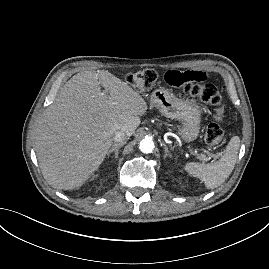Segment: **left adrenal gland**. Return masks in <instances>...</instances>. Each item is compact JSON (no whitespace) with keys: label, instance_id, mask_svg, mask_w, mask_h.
I'll list each match as a JSON object with an SVG mask.
<instances>
[{"label":"left adrenal gland","instance_id":"obj_1","mask_svg":"<svg viewBox=\"0 0 269 269\" xmlns=\"http://www.w3.org/2000/svg\"><path fill=\"white\" fill-rule=\"evenodd\" d=\"M167 157L171 158V154L169 153L167 146L164 144V158L166 159Z\"/></svg>","mask_w":269,"mask_h":269}]
</instances>
